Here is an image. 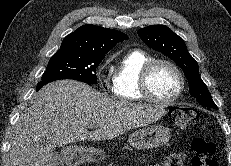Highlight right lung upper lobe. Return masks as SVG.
<instances>
[{
    "instance_id": "right-lung-upper-lobe-1",
    "label": "right lung upper lobe",
    "mask_w": 231,
    "mask_h": 166,
    "mask_svg": "<svg viewBox=\"0 0 231 166\" xmlns=\"http://www.w3.org/2000/svg\"><path fill=\"white\" fill-rule=\"evenodd\" d=\"M125 39H128V36L118 30L96 25H83L63 39L59 50L105 56L116 43Z\"/></svg>"
}]
</instances>
